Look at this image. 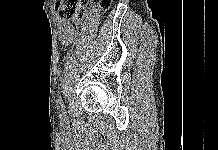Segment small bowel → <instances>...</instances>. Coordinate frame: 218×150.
<instances>
[{
  "label": "small bowel",
  "mask_w": 218,
  "mask_h": 150,
  "mask_svg": "<svg viewBox=\"0 0 218 150\" xmlns=\"http://www.w3.org/2000/svg\"><path fill=\"white\" fill-rule=\"evenodd\" d=\"M59 41L61 45L68 46L72 44L76 38L74 31L71 29L68 22L59 19L58 22Z\"/></svg>",
  "instance_id": "obj_1"
}]
</instances>
